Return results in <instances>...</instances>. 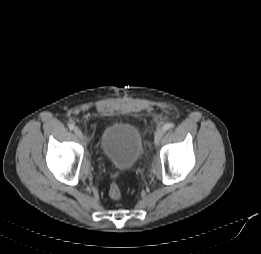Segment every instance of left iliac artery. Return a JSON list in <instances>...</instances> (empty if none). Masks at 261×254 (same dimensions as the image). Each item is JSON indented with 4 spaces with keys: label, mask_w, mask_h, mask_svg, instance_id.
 Returning <instances> with one entry per match:
<instances>
[{
    "label": "left iliac artery",
    "mask_w": 261,
    "mask_h": 254,
    "mask_svg": "<svg viewBox=\"0 0 261 254\" xmlns=\"http://www.w3.org/2000/svg\"><path fill=\"white\" fill-rule=\"evenodd\" d=\"M173 127V124L172 123H166L164 126H163V130L164 131H167L169 129H171Z\"/></svg>",
    "instance_id": "44dca946"
}]
</instances>
